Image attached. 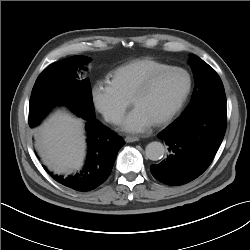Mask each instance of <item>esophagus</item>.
Instances as JSON below:
<instances>
[{"label": "esophagus", "mask_w": 250, "mask_h": 250, "mask_svg": "<svg viewBox=\"0 0 250 250\" xmlns=\"http://www.w3.org/2000/svg\"><path fill=\"white\" fill-rule=\"evenodd\" d=\"M138 140H139V138L136 137V136H126V137H125V141H126L127 143L136 142V141H138Z\"/></svg>", "instance_id": "34e87169"}]
</instances>
